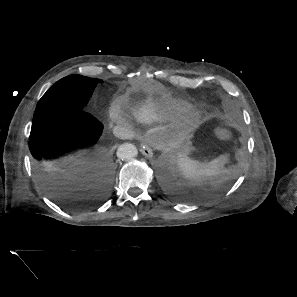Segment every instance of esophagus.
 <instances>
[{
    "label": "esophagus",
    "instance_id": "obj_1",
    "mask_svg": "<svg viewBox=\"0 0 297 297\" xmlns=\"http://www.w3.org/2000/svg\"><path fill=\"white\" fill-rule=\"evenodd\" d=\"M140 151L147 158H151L153 156V152L148 141L141 144Z\"/></svg>",
    "mask_w": 297,
    "mask_h": 297
}]
</instances>
